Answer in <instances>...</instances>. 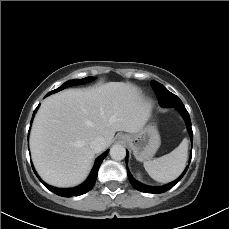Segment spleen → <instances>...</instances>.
I'll return each mask as SVG.
<instances>
[{
	"label": "spleen",
	"mask_w": 229,
	"mask_h": 229,
	"mask_svg": "<svg viewBox=\"0 0 229 229\" xmlns=\"http://www.w3.org/2000/svg\"><path fill=\"white\" fill-rule=\"evenodd\" d=\"M188 156V140L183 139L180 145L169 154L145 161L144 168L156 181L167 183L176 179L184 170Z\"/></svg>",
	"instance_id": "3e777b00"
}]
</instances>
